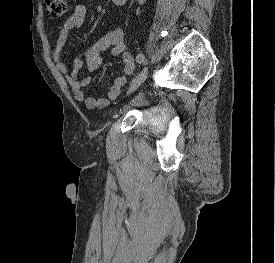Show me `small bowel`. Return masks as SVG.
Returning <instances> with one entry per match:
<instances>
[{
	"mask_svg": "<svg viewBox=\"0 0 275 263\" xmlns=\"http://www.w3.org/2000/svg\"><path fill=\"white\" fill-rule=\"evenodd\" d=\"M88 9L89 6L85 2H78L74 5L71 15L64 21L58 33L52 57L57 69L68 82L75 100L84 102L90 109H101L107 107L120 95L121 88L125 85L127 76L134 72L135 65L132 55L126 51L124 32L120 27H116L95 41L85 52L76 56L73 59L72 70H68L62 58V50L67 42L69 32L77 30L83 25ZM108 48H111V57L122 54L124 65L121 74L113 80L105 97H88L84 87L91 83V74L101 69L103 62L101 53ZM84 64H86L88 75L79 78V71Z\"/></svg>",
	"mask_w": 275,
	"mask_h": 263,
	"instance_id": "small-bowel-1",
	"label": "small bowel"
}]
</instances>
